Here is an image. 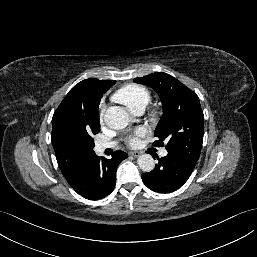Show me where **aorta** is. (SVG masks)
<instances>
[{"label": "aorta", "instance_id": "aorta-1", "mask_svg": "<svg viewBox=\"0 0 257 257\" xmlns=\"http://www.w3.org/2000/svg\"><path fill=\"white\" fill-rule=\"evenodd\" d=\"M104 121L110 128L120 130L129 124L131 118L122 107L112 106L106 110ZM137 163L139 168L144 172L152 171L155 166L154 159L149 154L140 155L138 157Z\"/></svg>", "mask_w": 257, "mask_h": 257}]
</instances>
